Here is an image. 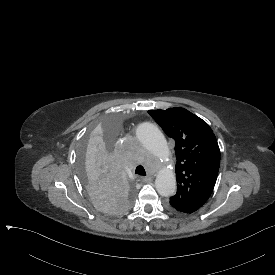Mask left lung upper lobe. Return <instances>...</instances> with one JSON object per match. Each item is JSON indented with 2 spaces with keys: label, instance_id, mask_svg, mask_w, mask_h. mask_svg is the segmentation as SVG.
<instances>
[{
  "label": "left lung upper lobe",
  "instance_id": "1",
  "mask_svg": "<svg viewBox=\"0 0 275 275\" xmlns=\"http://www.w3.org/2000/svg\"><path fill=\"white\" fill-rule=\"evenodd\" d=\"M148 113L176 142L177 193L170 206L186 213L198 210L210 197L218 175L220 150L209 125L184 108Z\"/></svg>",
  "mask_w": 275,
  "mask_h": 275
}]
</instances>
